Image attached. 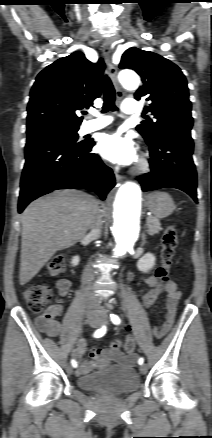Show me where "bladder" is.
<instances>
[{"mask_svg":"<svg viewBox=\"0 0 212 438\" xmlns=\"http://www.w3.org/2000/svg\"><path fill=\"white\" fill-rule=\"evenodd\" d=\"M78 385L89 391L123 395L135 391L140 380L133 368L109 367L77 379Z\"/></svg>","mask_w":212,"mask_h":438,"instance_id":"obj_1","label":"bladder"}]
</instances>
